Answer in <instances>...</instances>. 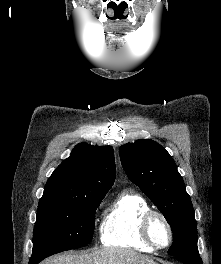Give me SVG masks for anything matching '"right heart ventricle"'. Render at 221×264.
<instances>
[{"label": "right heart ventricle", "instance_id": "right-heart-ventricle-1", "mask_svg": "<svg viewBox=\"0 0 221 264\" xmlns=\"http://www.w3.org/2000/svg\"><path fill=\"white\" fill-rule=\"evenodd\" d=\"M150 209L140 194L125 190L106 209L100 227V240L104 246L121 247L152 252L140 234L143 214Z\"/></svg>", "mask_w": 221, "mask_h": 264}]
</instances>
